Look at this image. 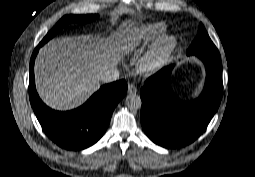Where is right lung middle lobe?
Returning a JSON list of instances; mask_svg holds the SVG:
<instances>
[{
  "instance_id": "right-lung-middle-lobe-1",
  "label": "right lung middle lobe",
  "mask_w": 255,
  "mask_h": 177,
  "mask_svg": "<svg viewBox=\"0 0 255 177\" xmlns=\"http://www.w3.org/2000/svg\"><path fill=\"white\" fill-rule=\"evenodd\" d=\"M98 18V15H66L62 17L59 22L48 32V34L43 38V40L39 43V46H42L47 41H49L52 37L55 36L61 29H63L70 22L77 23H88Z\"/></svg>"
}]
</instances>
